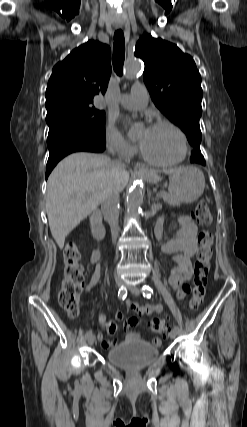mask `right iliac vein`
<instances>
[{
	"instance_id": "1",
	"label": "right iliac vein",
	"mask_w": 247,
	"mask_h": 427,
	"mask_svg": "<svg viewBox=\"0 0 247 427\" xmlns=\"http://www.w3.org/2000/svg\"><path fill=\"white\" fill-rule=\"evenodd\" d=\"M117 287H121L123 286V281L120 278H116L115 280ZM87 342L89 346H92L95 342V335L91 334L88 338H87Z\"/></svg>"
}]
</instances>
